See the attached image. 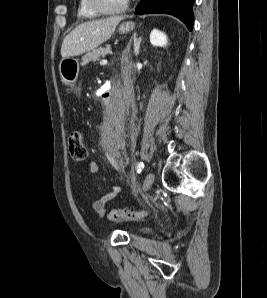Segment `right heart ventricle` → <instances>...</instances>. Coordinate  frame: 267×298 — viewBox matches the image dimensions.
<instances>
[{
  "label": "right heart ventricle",
  "mask_w": 267,
  "mask_h": 298,
  "mask_svg": "<svg viewBox=\"0 0 267 298\" xmlns=\"http://www.w3.org/2000/svg\"><path fill=\"white\" fill-rule=\"evenodd\" d=\"M77 14L78 17L85 20H93L99 17V14L90 8L88 0L78 1Z\"/></svg>",
  "instance_id": "1"
}]
</instances>
